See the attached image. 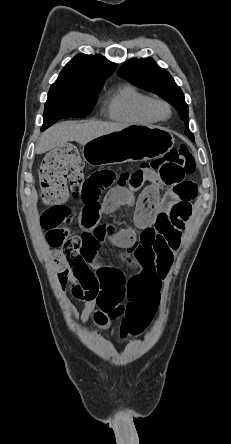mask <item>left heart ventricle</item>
Returning <instances> with one entry per match:
<instances>
[{
    "label": "left heart ventricle",
    "mask_w": 231,
    "mask_h": 444,
    "mask_svg": "<svg viewBox=\"0 0 231 444\" xmlns=\"http://www.w3.org/2000/svg\"><path fill=\"white\" fill-rule=\"evenodd\" d=\"M159 111H160L162 114H165V109H163V108H159Z\"/></svg>",
    "instance_id": "1"
}]
</instances>
